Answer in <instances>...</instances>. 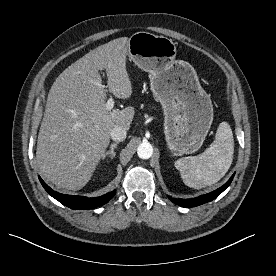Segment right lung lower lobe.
Returning <instances> with one entry per match:
<instances>
[{
  "label": "right lung lower lobe",
  "instance_id": "1",
  "mask_svg": "<svg viewBox=\"0 0 276 276\" xmlns=\"http://www.w3.org/2000/svg\"><path fill=\"white\" fill-rule=\"evenodd\" d=\"M39 180L44 189L49 193V195H51L53 198L58 200L63 205L76 210L94 209L96 207L102 206L106 204L116 193V191L114 190L105 195L94 198L65 195L52 190L47 184H45V182L40 177Z\"/></svg>",
  "mask_w": 276,
  "mask_h": 276
}]
</instances>
